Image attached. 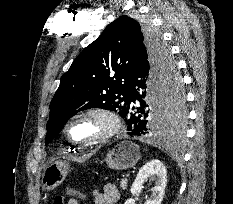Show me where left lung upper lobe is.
I'll use <instances>...</instances> for the list:
<instances>
[{
	"label": "left lung upper lobe",
	"mask_w": 233,
	"mask_h": 204,
	"mask_svg": "<svg viewBox=\"0 0 233 204\" xmlns=\"http://www.w3.org/2000/svg\"><path fill=\"white\" fill-rule=\"evenodd\" d=\"M140 50L158 75L164 92V127H178L186 117L181 79L173 84L176 63L169 48L150 27L123 15L74 60L63 74L50 104L45 144L77 112L102 108L123 117L129 99L130 70Z\"/></svg>",
	"instance_id": "obj_1"
}]
</instances>
